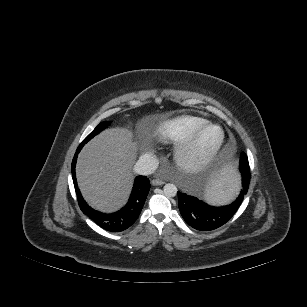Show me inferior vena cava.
<instances>
[{
  "instance_id": "obj_1",
  "label": "inferior vena cava",
  "mask_w": 307,
  "mask_h": 307,
  "mask_svg": "<svg viewBox=\"0 0 307 307\" xmlns=\"http://www.w3.org/2000/svg\"><path fill=\"white\" fill-rule=\"evenodd\" d=\"M158 159L151 153L143 154L134 165V171L140 175H150L158 168Z\"/></svg>"
}]
</instances>
